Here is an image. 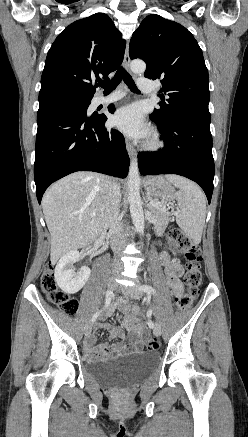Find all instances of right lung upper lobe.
<instances>
[{"mask_svg":"<svg viewBox=\"0 0 248 437\" xmlns=\"http://www.w3.org/2000/svg\"><path fill=\"white\" fill-rule=\"evenodd\" d=\"M126 41L113 21L96 13L61 32L48 51L39 95L62 91L92 98V82L108 79L123 61Z\"/></svg>","mask_w":248,"mask_h":437,"instance_id":"cb5924a9","label":"right lung upper lobe"}]
</instances>
